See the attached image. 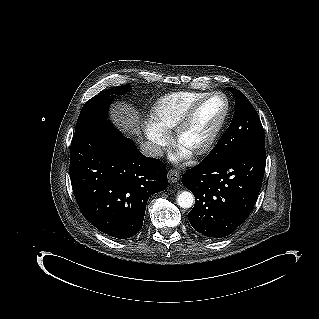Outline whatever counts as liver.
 Wrapping results in <instances>:
<instances>
[{"instance_id": "6515ba94", "label": "liver", "mask_w": 319, "mask_h": 319, "mask_svg": "<svg viewBox=\"0 0 319 319\" xmlns=\"http://www.w3.org/2000/svg\"><path fill=\"white\" fill-rule=\"evenodd\" d=\"M113 121L130 134H139L137 117L130 110L121 107L112 114Z\"/></svg>"}]
</instances>
